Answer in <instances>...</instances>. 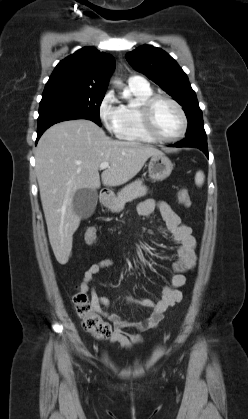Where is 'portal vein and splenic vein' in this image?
I'll list each match as a JSON object with an SVG mask.
<instances>
[{
	"instance_id": "portal-vein-and-splenic-vein-1",
	"label": "portal vein and splenic vein",
	"mask_w": 248,
	"mask_h": 419,
	"mask_svg": "<svg viewBox=\"0 0 248 419\" xmlns=\"http://www.w3.org/2000/svg\"><path fill=\"white\" fill-rule=\"evenodd\" d=\"M109 167V163L108 162H103V163H101L100 164V169H106V168H108Z\"/></svg>"
}]
</instances>
